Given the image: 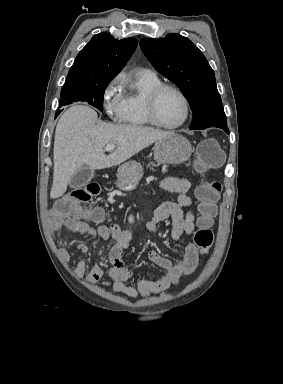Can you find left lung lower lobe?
Masks as SVG:
<instances>
[{
	"label": "left lung lower lobe",
	"instance_id": "0a47b994",
	"mask_svg": "<svg viewBox=\"0 0 283 384\" xmlns=\"http://www.w3.org/2000/svg\"><path fill=\"white\" fill-rule=\"evenodd\" d=\"M219 128H222L226 133H229V130H228V128H227V125H226V126H221V127H219Z\"/></svg>",
	"mask_w": 283,
	"mask_h": 384
}]
</instances>
